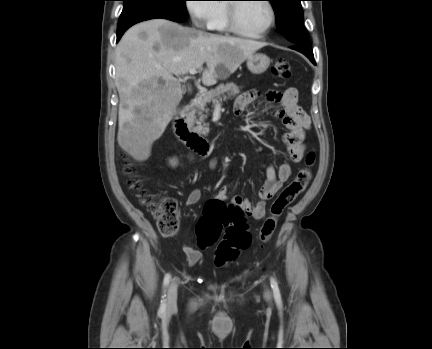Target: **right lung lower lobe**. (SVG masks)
Listing matches in <instances>:
<instances>
[{
    "label": "right lung lower lobe",
    "mask_w": 432,
    "mask_h": 349,
    "mask_svg": "<svg viewBox=\"0 0 432 349\" xmlns=\"http://www.w3.org/2000/svg\"><path fill=\"white\" fill-rule=\"evenodd\" d=\"M149 19H154V18H143V19H139L124 25L119 26L118 30H117V42L120 40V38L122 37V35L124 34V32L131 27L132 25L141 22V21H145V20H149Z\"/></svg>",
    "instance_id": "right-lung-lower-lobe-1"
}]
</instances>
